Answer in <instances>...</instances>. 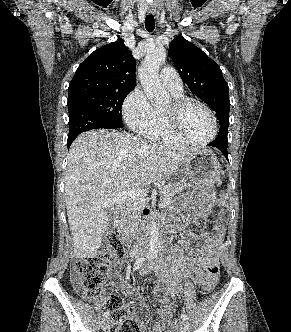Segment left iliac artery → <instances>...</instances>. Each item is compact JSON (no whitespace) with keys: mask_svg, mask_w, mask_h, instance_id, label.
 Segmentation results:
<instances>
[{"mask_svg":"<svg viewBox=\"0 0 291 332\" xmlns=\"http://www.w3.org/2000/svg\"><path fill=\"white\" fill-rule=\"evenodd\" d=\"M155 257H156V256H152L151 258L154 259ZM182 318H183L184 320H187V319H188L187 314H186V313H183V314H182Z\"/></svg>","mask_w":291,"mask_h":332,"instance_id":"44dca946","label":"left iliac artery"}]
</instances>
